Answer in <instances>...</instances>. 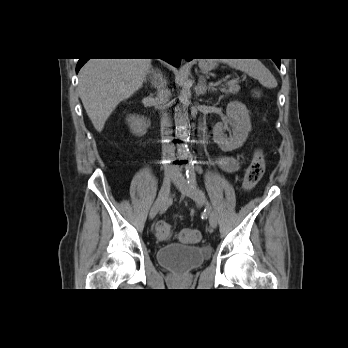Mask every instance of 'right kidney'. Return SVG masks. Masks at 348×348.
<instances>
[{
  "label": "right kidney",
  "mask_w": 348,
  "mask_h": 348,
  "mask_svg": "<svg viewBox=\"0 0 348 348\" xmlns=\"http://www.w3.org/2000/svg\"><path fill=\"white\" fill-rule=\"evenodd\" d=\"M126 120L133 134L143 136L146 133L148 121L143 116L129 115Z\"/></svg>",
  "instance_id": "right-kidney-1"
}]
</instances>
